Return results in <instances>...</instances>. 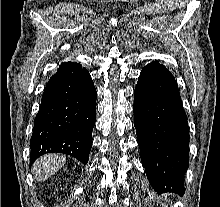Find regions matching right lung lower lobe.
<instances>
[{"label": "right lung lower lobe", "instance_id": "98d812e1", "mask_svg": "<svg viewBox=\"0 0 220 207\" xmlns=\"http://www.w3.org/2000/svg\"><path fill=\"white\" fill-rule=\"evenodd\" d=\"M96 89L79 63L64 62L48 81L30 140V163L64 153L86 164L96 118Z\"/></svg>", "mask_w": 220, "mask_h": 207}]
</instances>
